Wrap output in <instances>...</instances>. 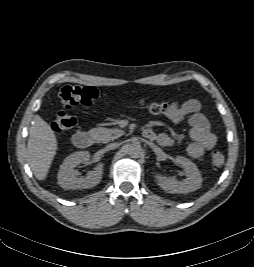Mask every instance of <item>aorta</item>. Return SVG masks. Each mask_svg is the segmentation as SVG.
<instances>
[{"instance_id": "762f6f07", "label": "aorta", "mask_w": 254, "mask_h": 267, "mask_svg": "<svg viewBox=\"0 0 254 267\" xmlns=\"http://www.w3.org/2000/svg\"><path fill=\"white\" fill-rule=\"evenodd\" d=\"M127 152L132 158H139L142 155V147L139 143H132L127 146Z\"/></svg>"}]
</instances>
